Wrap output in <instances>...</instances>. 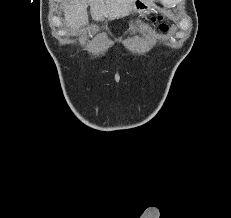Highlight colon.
Here are the masks:
<instances>
[{
  "label": "colon",
  "instance_id": "colon-1",
  "mask_svg": "<svg viewBox=\"0 0 231 218\" xmlns=\"http://www.w3.org/2000/svg\"><path fill=\"white\" fill-rule=\"evenodd\" d=\"M152 21L157 22L159 24L160 30L166 31L168 29L167 25L162 22V17L153 18Z\"/></svg>",
  "mask_w": 231,
  "mask_h": 218
}]
</instances>
